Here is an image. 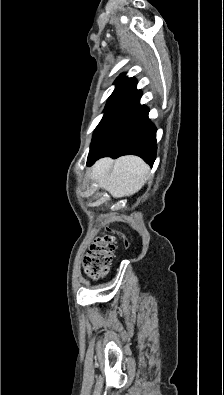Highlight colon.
Wrapping results in <instances>:
<instances>
[{"label":"colon","instance_id":"5ec220e1","mask_svg":"<svg viewBox=\"0 0 224 395\" xmlns=\"http://www.w3.org/2000/svg\"><path fill=\"white\" fill-rule=\"evenodd\" d=\"M115 248L116 238L114 235H105L96 239L83 260L86 272L96 279L103 277L112 262Z\"/></svg>","mask_w":224,"mask_h":395}]
</instances>
